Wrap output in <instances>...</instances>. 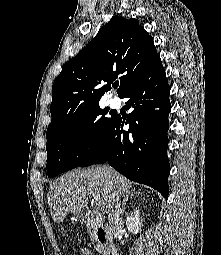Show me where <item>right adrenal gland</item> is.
I'll return each instance as SVG.
<instances>
[{
  "mask_svg": "<svg viewBox=\"0 0 221 255\" xmlns=\"http://www.w3.org/2000/svg\"><path fill=\"white\" fill-rule=\"evenodd\" d=\"M139 194H141V193L139 191H136L135 189L131 190L130 192H128L126 194V196L123 199V204H122V208H121V211H120L121 216H123V214L125 213L126 202L129 199H132L134 196H138Z\"/></svg>",
  "mask_w": 221,
  "mask_h": 255,
  "instance_id": "2a0ac1e0",
  "label": "right adrenal gland"
}]
</instances>
